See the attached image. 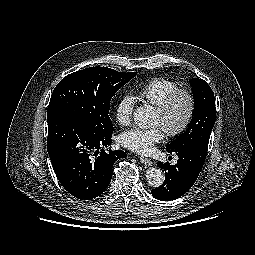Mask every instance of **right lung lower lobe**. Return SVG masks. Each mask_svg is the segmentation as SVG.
Instances as JSON below:
<instances>
[{
    "label": "right lung lower lobe",
    "instance_id": "1",
    "mask_svg": "<svg viewBox=\"0 0 255 255\" xmlns=\"http://www.w3.org/2000/svg\"><path fill=\"white\" fill-rule=\"evenodd\" d=\"M111 136L97 135L67 116L48 121L47 150L54 172L74 197L90 200L106 190L114 162L126 157L124 151L103 149L111 145Z\"/></svg>",
    "mask_w": 255,
    "mask_h": 255
}]
</instances>
